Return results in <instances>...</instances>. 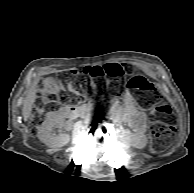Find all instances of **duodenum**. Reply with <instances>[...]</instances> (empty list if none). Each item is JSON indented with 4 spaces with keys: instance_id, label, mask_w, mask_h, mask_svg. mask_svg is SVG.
I'll list each match as a JSON object with an SVG mask.
<instances>
[{
    "instance_id": "duodenum-1",
    "label": "duodenum",
    "mask_w": 194,
    "mask_h": 193,
    "mask_svg": "<svg viewBox=\"0 0 194 193\" xmlns=\"http://www.w3.org/2000/svg\"><path fill=\"white\" fill-rule=\"evenodd\" d=\"M63 114L67 118H74L80 114V109L76 106H68V107L64 108Z\"/></svg>"
}]
</instances>
